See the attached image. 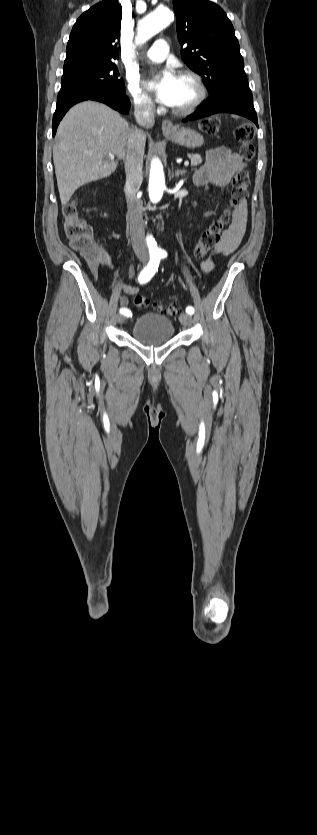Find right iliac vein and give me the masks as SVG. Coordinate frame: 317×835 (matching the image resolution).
Masks as SVG:
<instances>
[{"mask_svg": "<svg viewBox=\"0 0 317 835\" xmlns=\"http://www.w3.org/2000/svg\"><path fill=\"white\" fill-rule=\"evenodd\" d=\"M124 320H125V316H124L123 314H118V315H117V321H118V323H123V322H124Z\"/></svg>", "mask_w": 317, "mask_h": 835, "instance_id": "right-iliac-vein-1", "label": "right iliac vein"}]
</instances>
